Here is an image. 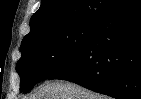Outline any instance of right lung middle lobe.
<instances>
[{
	"label": "right lung middle lobe",
	"mask_w": 141,
	"mask_h": 99,
	"mask_svg": "<svg viewBox=\"0 0 141 99\" xmlns=\"http://www.w3.org/2000/svg\"><path fill=\"white\" fill-rule=\"evenodd\" d=\"M100 21H81L22 42L16 65L21 92L62 69L94 36Z\"/></svg>",
	"instance_id": "dd1d6c3e"
}]
</instances>
